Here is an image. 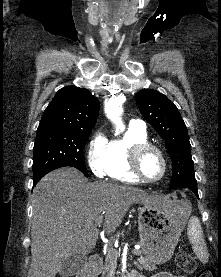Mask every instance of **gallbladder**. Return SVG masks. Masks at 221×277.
<instances>
[{
	"label": "gallbladder",
	"instance_id": "1",
	"mask_svg": "<svg viewBox=\"0 0 221 277\" xmlns=\"http://www.w3.org/2000/svg\"><path fill=\"white\" fill-rule=\"evenodd\" d=\"M87 262L85 255L72 254L61 266L59 275L61 277H72L77 274Z\"/></svg>",
	"mask_w": 221,
	"mask_h": 277
}]
</instances>
